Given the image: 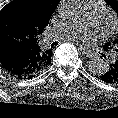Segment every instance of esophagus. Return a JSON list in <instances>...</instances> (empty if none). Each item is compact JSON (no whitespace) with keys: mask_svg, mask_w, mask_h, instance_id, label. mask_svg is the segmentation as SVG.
Returning a JSON list of instances; mask_svg holds the SVG:
<instances>
[{"mask_svg":"<svg viewBox=\"0 0 118 118\" xmlns=\"http://www.w3.org/2000/svg\"><path fill=\"white\" fill-rule=\"evenodd\" d=\"M80 50L82 51V53L86 56L91 58L93 56V53L88 50L87 48L83 47L82 45L80 46Z\"/></svg>","mask_w":118,"mask_h":118,"instance_id":"34e87169","label":"esophagus"}]
</instances>
